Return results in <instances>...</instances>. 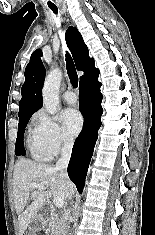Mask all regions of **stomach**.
Returning a JSON list of instances; mask_svg holds the SVG:
<instances>
[{"instance_id":"1","label":"stomach","mask_w":155,"mask_h":235,"mask_svg":"<svg viewBox=\"0 0 155 235\" xmlns=\"http://www.w3.org/2000/svg\"><path fill=\"white\" fill-rule=\"evenodd\" d=\"M45 226H46V219L42 215L37 214L36 216H34L31 223L29 224L28 235H32L33 233L42 230Z\"/></svg>"}]
</instances>
